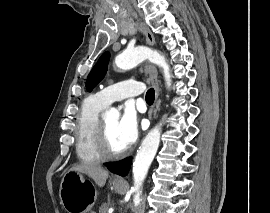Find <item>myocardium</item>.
<instances>
[{
    "instance_id": "myocardium-1",
    "label": "myocardium",
    "mask_w": 270,
    "mask_h": 213,
    "mask_svg": "<svg viewBox=\"0 0 270 213\" xmlns=\"http://www.w3.org/2000/svg\"><path fill=\"white\" fill-rule=\"evenodd\" d=\"M95 143L103 159L107 160L118 159L126 154V149L116 152L110 148L107 140L106 129L102 119H98L96 125Z\"/></svg>"
}]
</instances>
